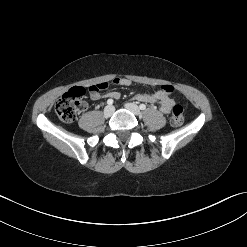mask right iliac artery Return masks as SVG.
<instances>
[{
	"instance_id": "right-iliac-artery-1",
	"label": "right iliac artery",
	"mask_w": 247,
	"mask_h": 247,
	"mask_svg": "<svg viewBox=\"0 0 247 247\" xmlns=\"http://www.w3.org/2000/svg\"><path fill=\"white\" fill-rule=\"evenodd\" d=\"M113 102H114L113 99H108V100H107V104H108V105H112Z\"/></svg>"
}]
</instances>
